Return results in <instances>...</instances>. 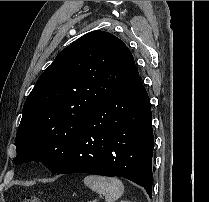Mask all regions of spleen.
Masks as SVG:
<instances>
[{"label":"spleen","instance_id":"1","mask_svg":"<svg viewBox=\"0 0 209 202\" xmlns=\"http://www.w3.org/2000/svg\"><path fill=\"white\" fill-rule=\"evenodd\" d=\"M83 181L92 191L105 195L106 202L116 201L124 192L122 181L115 177L88 175Z\"/></svg>","mask_w":209,"mask_h":202}]
</instances>
